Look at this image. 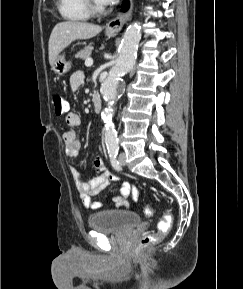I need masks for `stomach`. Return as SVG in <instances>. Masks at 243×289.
I'll return each mask as SVG.
<instances>
[{"instance_id":"1","label":"stomach","mask_w":243,"mask_h":289,"mask_svg":"<svg viewBox=\"0 0 243 289\" xmlns=\"http://www.w3.org/2000/svg\"><path fill=\"white\" fill-rule=\"evenodd\" d=\"M108 36H113V34H108ZM70 69L71 62L68 61L64 55H58L52 65V70L58 75H63L67 73Z\"/></svg>"}]
</instances>
